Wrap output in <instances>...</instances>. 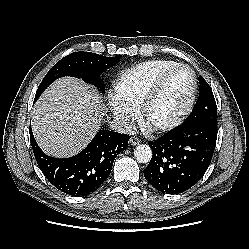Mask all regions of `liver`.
Returning a JSON list of instances; mask_svg holds the SVG:
<instances>
[{
    "mask_svg": "<svg viewBox=\"0 0 249 249\" xmlns=\"http://www.w3.org/2000/svg\"><path fill=\"white\" fill-rule=\"evenodd\" d=\"M104 109L101 96L91 87L71 77L58 79L31 113L35 139L48 155L73 156L96 134Z\"/></svg>",
    "mask_w": 249,
    "mask_h": 249,
    "instance_id": "liver-1",
    "label": "liver"
}]
</instances>
